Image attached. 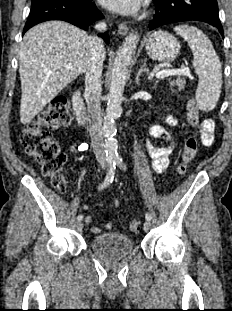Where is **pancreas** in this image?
I'll list each match as a JSON object with an SVG mask.
<instances>
[{
  "label": "pancreas",
  "mask_w": 232,
  "mask_h": 311,
  "mask_svg": "<svg viewBox=\"0 0 232 311\" xmlns=\"http://www.w3.org/2000/svg\"><path fill=\"white\" fill-rule=\"evenodd\" d=\"M185 83H186L185 80L182 79V78H178V79H176V80H173V81L169 82L170 87H171V90H172L173 92H176V90L172 89V87H175V86H176L177 89H178V91H181V90L184 89Z\"/></svg>",
  "instance_id": "1"
}]
</instances>
